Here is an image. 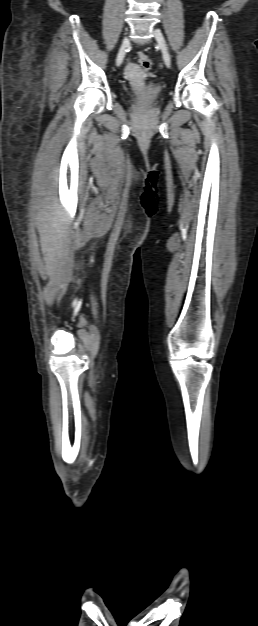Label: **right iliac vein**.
Returning a JSON list of instances; mask_svg holds the SVG:
<instances>
[{
	"label": "right iliac vein",
	"instance_id": "1",
	"mask_svg": "<svg viewBox=\"0 0 258 626\" xmlns=\"http://www.w3.org/2000/svg\"><path fill=\"white\" fill-rule=\"evenodd\" d=\"M128 45H129V39L127 37H125L123 39L122 45H121V47L119 49V52H118V55H117V59H116V65L117 66H120V64L122 63V61L124 59V56H125V51H126V48L128 47Z\"/></svg>",
	"mask_w": 258,
	"mask_h": 626
}]
</instances>
